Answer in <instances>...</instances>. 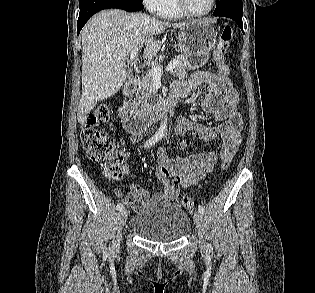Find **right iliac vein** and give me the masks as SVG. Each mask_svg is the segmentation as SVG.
Returning a JSON list of instances; mask_svg holds the SVG:
<instances>
[{
  "label": "right iliac vein",
  "mask_w": 315,
  "mask_h": 293,
  "mask_svg": "<svg viewBox=\"0 0 315 293\" xmlns=\"http://www.w3.org/2000/svg\"><path fill=\"white\" fill-rule=\"evenodd\" d=\"M128 218V212L125 208L121 209L118 213V218H117V236H116V240L113 244V249H116L119 245V242L121 240V231H122V227L124 226V224L126 223Z\"/></svg>",
  "instance_id": "right-iliac-vein-1"
}]
</instances>
